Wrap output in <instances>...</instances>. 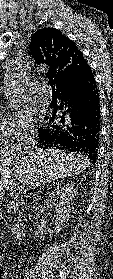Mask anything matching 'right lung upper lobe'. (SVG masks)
Listing matches in <instances>:
<instances>
[{"instance_id": "cb5924a9", "label": "right lung upper lobe", "mask_w": 113, "mask_h": 279, "mask_svg": "<svg viewBox=\"0 0 113 279\" xmlns=\"http://www.w3.org/2000/svg\"><path fill=\"white\" fill-rule=\"evenodd\" d=\"M30 50L36 62L50 67L46 75L54 78L57 90L77 80L89 67L75 43L55 28L38 30L31 38Z\"/></svg>"}]
</instances>
